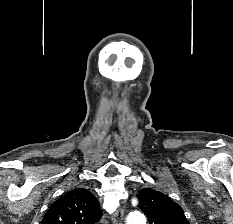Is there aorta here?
<instances>
[{"mask_svg":"<svg viewBox=\"0 0 233 224\" xmlns=\"http://www.w3.org/2000/svg\"><path fill=\"white\" fill-rule=\"evenodd\" d=\"M146 220L142 213L132 212L127 216L126 224H145Z\"/></svg>","mask_w":233,"mask_h":224,"instance_id":"762f6f07","label":"aorta"}]
</instances>
